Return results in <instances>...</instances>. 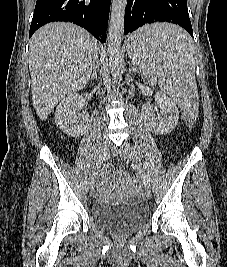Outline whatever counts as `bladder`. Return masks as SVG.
<instances>
[{
  "label": "bladder",
  "instance_id": "31cf9c89",
  "mask_svg": "<svg viewBox=\"0 0 227 267\" xmlns=\"http://www.w3.org/2000/svg\"><path fill=\"white\" fill-rule=\"evenodd\" d=\"M91 215L93 221L103 228L117 235H126L143 225L148 218V208L142 202L116 204L96 201Z\"/></svg>",
  "mask_w": 227,
  "mask_h": 267
}]
</instances>
